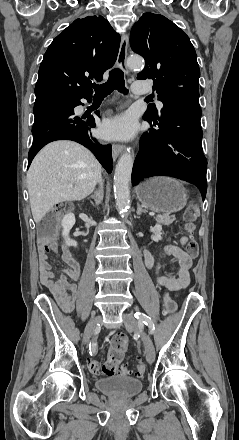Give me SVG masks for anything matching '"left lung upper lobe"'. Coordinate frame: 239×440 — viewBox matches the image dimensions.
Here are the masks:
<instances>
[{
  "label": "left lung upper lobe",
  "mask_w": 239,
  "mask_h": 440,
  "mask_svg": "<svg viewBox=\"0 0 239 440\" xmlns=\"http://www.w3.org/2000/svg\"><path fill=\"white\" fill-rule=\"evenodd\" d=\"M130 45L146 62L137 78L154 79L153 88L164 106L178 99L199 101L196 52L177 25L160 14L144 13L132 27ZM159 114L155 107L146 113L149 118Z\"/></svg>",
  "instance_id": "5c2ea615"
}]
</instances>
